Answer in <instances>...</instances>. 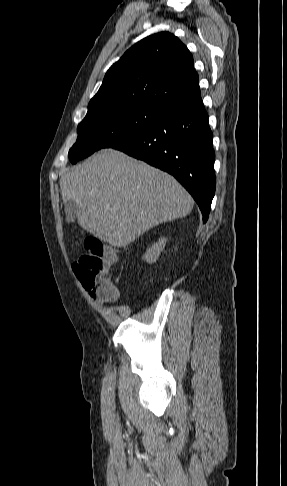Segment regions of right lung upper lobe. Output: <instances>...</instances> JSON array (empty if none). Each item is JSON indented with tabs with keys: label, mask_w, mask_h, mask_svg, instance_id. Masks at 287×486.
Wrapping results in <instances>:
<instances>
[{
	"label": "right lung upper lobe",
	"mask_w": 287,
	"mask_h": 486,
	"mask_svg": "<svg viewBox=\"0 0 287 486\" xmlns=\"http://www.w3.org/2000/svg\"><path fill=\"white\" fill-rule=\"evenodd\" d=\"M193 64L191 53L173 34L148 36L110 67L88 108L144 101L170 109L200 95Z\"/></svg>",
	"instance_id": "cb5924a9"
}]
</instances>
